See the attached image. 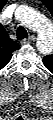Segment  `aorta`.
<instances>
[{
  "mask_svg": "<svg viewBox=\"0 0 53 120\" xmlns=\"http://www.w3.org/2000/svg\"><path fill=\"white\" fill-rule=\"evenodd\" d=\"M22 21L32 30L38 33L37 47L41 52L48 51L52 43V24L41 14L29 10L21 9Z\"/></svg>",
  "mask_w": 53,
  "mask_h": 120,
  "instance_id": "1",
  "label": "aorta"
}]
</instances>
